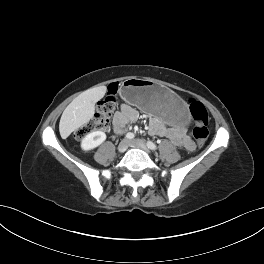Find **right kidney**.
I'll return each instance as SVG.
<instances>
[{"instance_id": "ca27d5eb", "label": "right kidney", "mask_w": 264, "mask_h": 264, "mask_svg": "<svg viewBox=\"0 0 264 264\" xmlns=\"http://www.w3.org/2000/svg\"><path fill=\"white\" fill-rule=\"evenodd\" d=\"M106 140V134L102 131H94L87 134L81 141V148L84 151L92 150Z\"/></svg>"}]
</instances>
